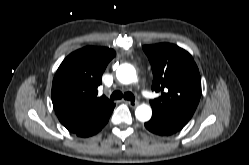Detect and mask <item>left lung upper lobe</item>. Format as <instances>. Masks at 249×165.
<instances>
[{"label": "left lung upper lobe", "instance_id": "obj_1", "mask_svg": "<svg viewBox=\"0 0 249 165\" xmlns=\"http://www.w3.org/2000/svg\"><path fill=\"white\" fill-rule=\"evenodd\" d=\"M143 50L152 67V90L161 92L151 106L190 120L201 96V78L192 56L170 43L146 45Z\"/></svg>", "mask_w": 249, "mask_h": 165}]
</instances>
